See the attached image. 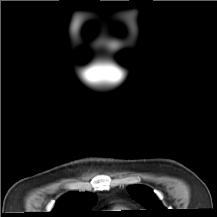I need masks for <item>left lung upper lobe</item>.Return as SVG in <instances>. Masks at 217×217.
Masks as SVG:
<instances>
[{
  "label": "left lung upper lobe",
  "instance_id": "5c2ea615",
  "mask_svg": "<svg viewBox=\"0 0 217 217\" xmlns=\"http://www.w3.org/2000/svg\"><path fill=\"white\" fill-rule=\"evenodd\" d=\"M128 192L137 202L147 209L145 213L149 216L161 217L167 212V209L164 208L150 188L143 185H134L128 187Z\"/></svg>",
  "mask_w": 217,
  "mask_h": 217
}]
</instances>
